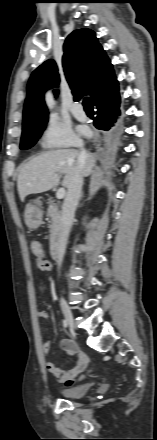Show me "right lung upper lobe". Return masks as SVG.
Segmentation results:
<instances>
[{
  "label": "right lung upper lobe",
  "instance_id": "cb5924a9",
  "mask_svg": "<svg viewBox=\"0 0 157 440\" xmlns=\"http://www.w3.org/2000/svg\"><path fill=\"white\" fill-rule=\"evenodd\" d=\"M63 67L75 101L88 95L97 107L119 92L112 64L90 29L75 30L66 38ZM57 71L56 63L47 60L32 73L27 85L23 126L47 122L44 93L59 83Z\"/></svg>",
  "mask_w": 157,
  "mask_h": 440
}]
</instances>
